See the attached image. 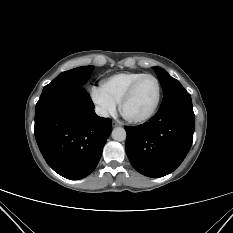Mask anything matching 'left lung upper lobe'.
I'll list each match as a JSON object with an SVG mask.
<instances>
[{"instance_id": "left-lung-upper-lobe-1", "label": "left lung upper lobe", "mask_w": 233, "mask_h": 233, "mask_svg": "<svg viewBox=\"0 0 233 233\" xmlns=\"http://www.w3.org/2000/svg\"><path fill=\"white\" fill-rule=\"evenodd\" d=\"M158 75V79L163 88V100L174 98L176 96L189 95L180 82L171 77L164 69L160 67H153Z\"/></svg>"}]
</instances>
